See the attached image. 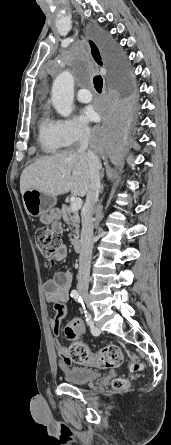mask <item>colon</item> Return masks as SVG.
Wrapping results in <instances>:
<instances>
[{
	"label": "colon",
	"mask_w": 171,
	"mask_h": 445,
	"mask_svg": "<svg viewBox=\"0 0 171 445\" xmlns=\"http://www.w3.org/2000/svg\"><path fill=\"white\" fill-rule=\"evenodd\" d=\"M35 242L46 265H53L57 261V254L61 247L60 237L46 228H37L34 232ZM75 327L73 324L66 329L67 338L72 340L69 348V360L73 363H88L101 369L115 368L122 364L123 354L119 346L110 344L102 347L95 353H90L88 347L75 339ZM131 372L141 371L143 366L136 357H132L129 365ZM115 390H123L127 386V380L119 377L113 380Z\"/></svg>",
	"instance_id": "1"
}]
</instances>
